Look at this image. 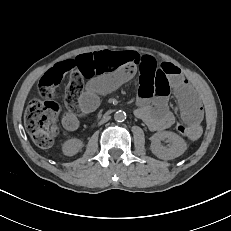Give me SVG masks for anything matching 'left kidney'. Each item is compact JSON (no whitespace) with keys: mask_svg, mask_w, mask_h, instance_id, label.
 Returning <instances> with one entry per match:
<instances>
[{"mask_svg":"<svg viewBox=\"0 0 231 231\" xmlns=\"http://www.w3.org/2000/svg\"><path fill=\"white\" fill-rule=\"evenodd\" d=\"M167 140L168 147L162 146L161 141ZM187 149L183 138L170 131L157 132L151 137V151L160 159L171 160L182 155Z\"/></svg>","mask_w":231,"mask_h":231,"instance_id":"obj_1","label":"left kidney"}]
</instances>
